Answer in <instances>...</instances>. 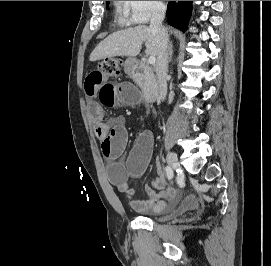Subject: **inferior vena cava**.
Returning <instances> with one entry per match:
<instances>
[{
	"instance_id": "obj_1",
	"label": "inferior vena cava",
	"mask_w": 271,
	"mask_h": 266,
	"mask_svg": "<svg viewBox=\"0 0 271 266\" xmlns=\"http://www.w3.org/2000/svg\"><path fill=\"white\" fill-rule=\"evenodd\" d=\"M166 6L162 3L155 5L151 21L150 30L155 37L157 48L156 75L159 86V98L164 101L167 94V72H168V33L162 22L165 18Z\"/></svg>"
}]
</instances>
